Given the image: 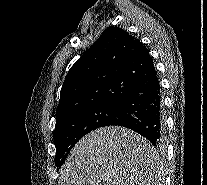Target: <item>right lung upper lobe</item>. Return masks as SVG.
Wrapping results in <instances>:
<instances>
[{
	"instance_id": "right-lung-upper-lobe-1",
	"label": "right lung upper lobe",
	"mask_w": 207,
	"mask_h": 185,
	"mask_svg": "<svg viewBox=\"0 0 207 185\" xmlns=\"http://www.w3.org/2000/svg\"><path fill=\"white\" fill-rule=\"evenodd\" d=\"M157 77L146 47L119 27H108L65 77L56 123L103 104L122 105Z\"/></svg>"
}]
</instances>
